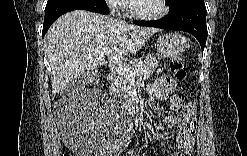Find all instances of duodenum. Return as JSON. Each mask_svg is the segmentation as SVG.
<instances>
[{
  "mask_svg": "<svg viewBox=\"0 0 247 156\" xmlns=\"http://www.w3.org/2000/svg\"><path fill=\"white\" fill-rule=\"evenodd\" d=\"M108 78L112 79L113 78V75H109ZM130 104L128 106V109H129V112L134 116V117H137L139 118L140 117V112L137 108V99L136 97L130 99Z\"/></svg>",
  "mask_w": 247,
  "mask_h": 156,
  "instance_id": "1",
  "label": "duodenum"
}]
</instances>
